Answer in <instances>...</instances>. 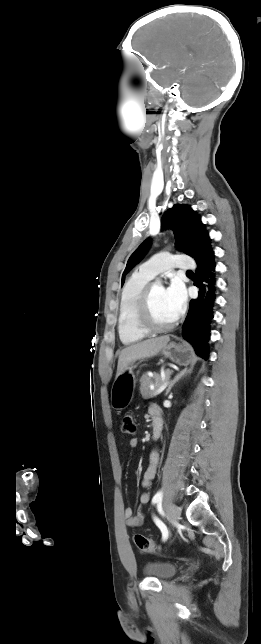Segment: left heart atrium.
<instances>
[{"label":"left heart atrium","mask_w":261,"mask_h":644,"mask_svg":"<svg viewBox=\"0 0 261 644\" xmlns=\"http://www.w3.org/2000/svg\"><path fill=\"white\" fill-rule=\"evenodd\" d=\"M165 299L171 309L174 318H178L186 307V294L182 285L174 281L164 289Z\"/></svg>","instance_id":"left-heart-atrium-1"}]
</instances>
